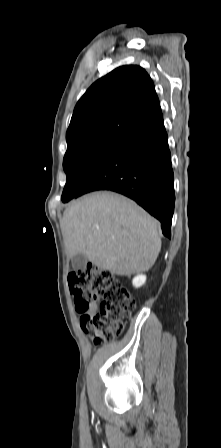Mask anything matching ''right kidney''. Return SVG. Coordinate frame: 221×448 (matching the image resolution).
Instances as JSON below:
<instances>
[{"label":"right kidney","mask_w":221,"mask_h":448,"mask_svg":"<svg viewBox=\"0 0 221 448\" xmlns=\"http://www.w3.org/2000/svg\"><path fill=\"white\" fill-rule=\"evenodd\" d=\"M146 282V276L145 275H137L136 277H134L132 283L133 286L136 288L141 287L142 285H144Z\"/></svg>","instance_id":"obj_1"}]
</instances>
